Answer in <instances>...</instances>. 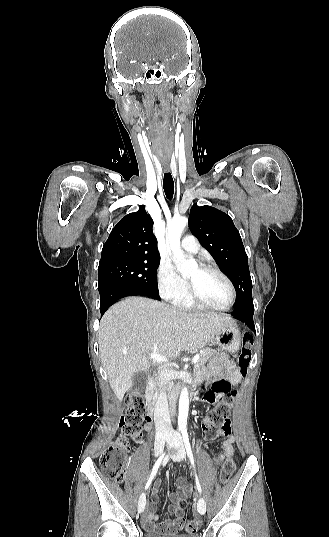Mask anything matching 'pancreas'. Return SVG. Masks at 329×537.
<instances>
[{
  "label": "pancreas",
  "instance_id": "obj_1",
  "mask_svg": "<svg viewBox=\"0 0 329 537\" xmlns=\"http://www.w3.org/2000/svg\"><path fill=\"white\" fill-rule=\"evenodd\" d=\"M215 353L216 351L214 349H210V348L203 349L202 352L199 354L200 358H199V361L196 363L195 368H200L204 366L207 363V361L211 359ZM177 389H178V385H174L173 382H170L167 388L171 396L174 394V392Z\"/></svg>",
  "mask_w": 329,
  "mask_h": 537
}]
</instances>
